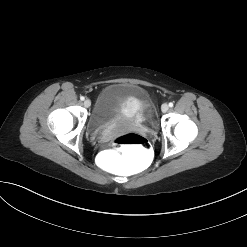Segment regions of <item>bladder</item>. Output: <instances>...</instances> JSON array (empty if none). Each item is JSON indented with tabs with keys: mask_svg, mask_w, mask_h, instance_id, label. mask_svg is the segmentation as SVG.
<instances>
[{
	"mask_svg": "<svg viewBox=\"0 0 247 247\" xmlns=\"http://www.w3.org/2000/svg\"><path fill=\"white\" fill-rule=\"evenodd\" d=\"M152 118V103L141 88L112 85L100 95L89 120L91 130L104 131L117 122L143 125Z\"/></svg>",
	"mask_w": 247,
	"mask_h": 247,
	"instance_id": "1",
	"label": "bladder"
}]
</instances>
